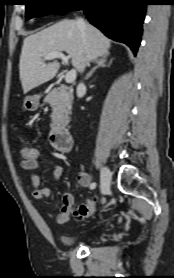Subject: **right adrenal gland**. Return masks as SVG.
Segmentation results:
<instances>
[{
    "mask_svg": "<svg viewBox=\"0 0 174 278\" xmlns=\"http://www.w3.org/2000/svg\"><path fill=\"white\" fill-rule=\"evenodd\" d=\"M107 55H103L101 57H99L98 59H96V66L94 68L91 69V71L87 74L86 79H89L93 73L99 68V67H109L111 62L107 64Z\"/></svg>",
    "mask_w": 174,
    "mask_h": 278,
    "instance_id": "1",
    "label": "right adrenal gland"
}]
</instances>
